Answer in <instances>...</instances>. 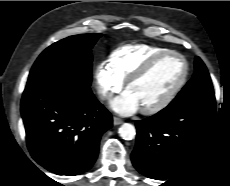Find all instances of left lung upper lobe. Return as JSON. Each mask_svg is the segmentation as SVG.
I'll list each match as a JSON object with an SVG mask.
<instances>
[{
	"label": "left lung upper lobe",
	"mask_w": 230,
	"mask_h": 186,
	"mask_svg": "<svg viewBox=\"0 0 230 186\" xmlns=\"http://www.w3.org/2000/svg\"><path fill=\"white\" fill-rule=\"evenodd\" d=\"M208 94H214L212 82L206 66L199 57H196L193 78L170 104L185 102L191 98L201 97Z\"/></svg>",
	"instance_id": "left-lung-upper-lobe-1"
}]
</instances>
